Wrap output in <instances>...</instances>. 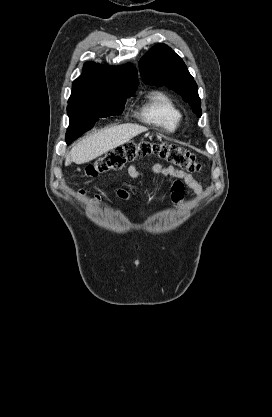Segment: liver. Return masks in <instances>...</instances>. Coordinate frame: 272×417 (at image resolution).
<instances>
[{
    "mask_svg": "<svg viewBox=\"0 0 272 417\" xmlns=\"http://www.w3.org/2000/svg\"><path fill=\"white\" fill-rule=\"evenodd\" d=\"M147 128L136 124H122L95 132L77 143L66 157L65 165L83 164L124 144Z\"/></svg>",
    "mask_w": 272,
    "mask_h": 417,
    "instance_id": "1",
    "label": "liver"
}]
</instances>
